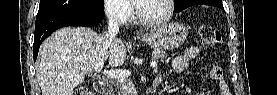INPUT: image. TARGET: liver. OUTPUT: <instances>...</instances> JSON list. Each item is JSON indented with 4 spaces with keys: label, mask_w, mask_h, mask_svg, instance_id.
<instances>
[{
    "label": "liver",
    "mask_w": 277,
    "mask_h": 95,
    "mask_svg": "<svg viewBox=\"0 0 277 95\" xmlns=\"http://www.w3.org/2000/svg\"><path fill=\"white\" fill-rule=\"evenodd\" d=\"M126 59L121 40L85 27L57 30L40 46L36 77L42 95H72L96 64L118 67Z\"/></svg>",
    "instance_id": "1"
}]
</instances>
